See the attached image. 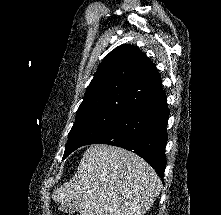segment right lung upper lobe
I'll use <instances>...</instances> for the list:
<instances>
[{
	"label": "right lung upper lobe",
	"mask_w": 221,
	"mask_h": 215,
	"mask_svg": "<svg viewBox=\"0 0 221 215\" xmlns=\"http://www.w3.org/2000/svg\"><path fill=\"white\" fill-rule=\"evenodd\" d=\"M162 91L154 64L136 46L115 48L99 65L77 113L124 116Z\"/></svg>",
	"instance_id": "right-lung-upper-lobe-1"
}]
</instances>
